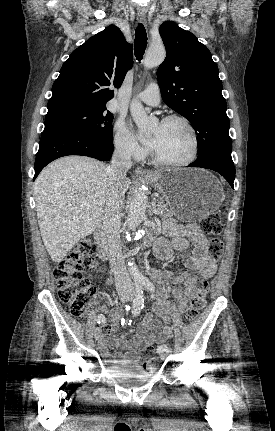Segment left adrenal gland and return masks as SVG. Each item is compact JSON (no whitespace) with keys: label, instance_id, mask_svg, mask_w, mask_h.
Segmentation results:
<instances>
[{"label":"left adrenal gland","instance_id":"1","mask_svg":"<svg viewBox=\"0 0 275 431\" xmlns=\"http://www.w3.org/2000/svg\"><path fill=\"white\" fill-rule=\"evenodd\" d=\"M156 208V198L154 197L153 198V201H152V203H151V206H150V208H149V214H150V216H153V213H154V209Z\"/></svg>","mask_w":275,"mask_h":431}]
</instances>
